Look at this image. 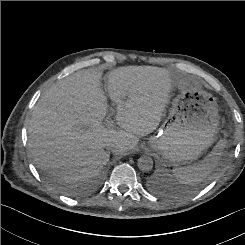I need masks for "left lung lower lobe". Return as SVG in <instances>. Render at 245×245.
<instances>
[{
	"instance_id": "0a47b994",
	"label": "left lung lower lobe",
	"mask_w": 245,
	"mask_h": 245,
	"mask_svg": "<svg viewBox=\"0 0 245 245\" xmlns=\"http://www.w3.org/2000/svg\"><path fill=\"white\" fill-rule=\"evenodd\" d=\"M151 190L165 197H175L182 193L183 186L178 181H165L158 176H153L148 181Z\"/></svg>"
}]
</instances>
